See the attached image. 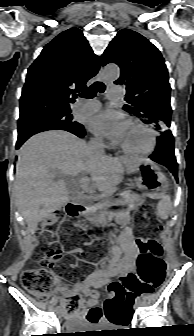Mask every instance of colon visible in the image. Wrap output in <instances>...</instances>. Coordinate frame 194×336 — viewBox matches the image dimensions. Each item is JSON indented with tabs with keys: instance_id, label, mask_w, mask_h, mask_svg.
<instances>
[{
	"instance_id": "5ec220e1",
	"label": "colon",
	"mask_w": 194,
	"mask_h": 336,
	"mask_svg": "<svg viewBox=\"0 0 194 336\" xmlns=\"http://www.w3.org/2000/svg\"><path fill=\"white\" fill-rule=\"evenodd\" d=\"M151 208L152 205L146 203L136 219V228L142 236L137 240L138 258L134 279L124 282L113 281L108 286L112 299L106 302L104 310L112 322H118L114 317L116 313V309L113 307L115 300L119 297H133L134 292L130 286L135 283L143 284V287L149 290L158 287L164 279L165 265L161 260L163 249L153 239V236L157 235L162 227L160 221L152 216ZM38 236L41 243V258H61L64 251L62 241L66 242V250L69 253L81 254L84 262L93 261L102 249L101 240H91L90 238L82 240L72 236L71 225L66 220L63 211H56L45 218L38 228ZM58 267V264H53L47 267L28 269L22 273L21 283L33 297L45 300L56 284L57 274L54 272V268ZM80 301L79 295L66 297L62 303L67 314H74Z\"/></svg>"
}]
</instances>
